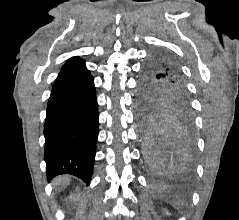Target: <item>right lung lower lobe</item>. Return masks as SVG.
<instances>
[{"instance_id":"1","label":"right lung lower lobe","mask_w":239,"mask_h":220,"mask_svg":"<svg viewBox=\"0 0 239 220\" xmlns=\"http://www.w3.org/2000/svg\"><path fill=\"white\" fill-rule=\"evenodd\" d=\"M47 178L72 174L89 182L98 137L94 82L83 60L64 67L49 98L44 126Z\"/></svg>"}]
</instances>
